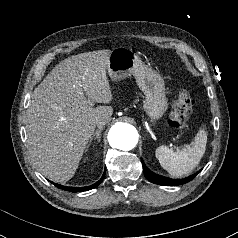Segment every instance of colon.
<instances>
[{
	"instance_id": "colon-1",
	"label": "colon",
	"mask_w": 238,
	"mask_h": 238,
	"mask_svg": "<svg viewBox=\"0 0 238 238\" xmlns=\"http://www.w3.org/2000/svg\"><path fill=\"white\" fill-rule=\"evenodd\" d=\"M194 100L187 90H182L169 116L168 123L171 127L184 130L188 127L189 118L193 109Z\"/></svg>"
}]
</instances>
